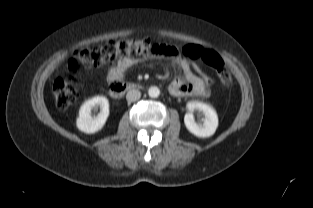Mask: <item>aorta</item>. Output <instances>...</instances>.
Here are the masks:
<instances>
[{
  "instance_id": "1",
  "label": "aorta",
  "mask_w": 313,
  "mask_h": 208,
  "mask_svg": "<svg viewBox=\"0 0 313 208\" xmlns=\"http://www.w3.org/2000/svg\"><path fill=\"white\" fill-rule=\"evenodd\" d=\"M148 95L151 98H157L160 95V90L156 86H152L148 90Z\"/></svg>"
}]
</instances>
